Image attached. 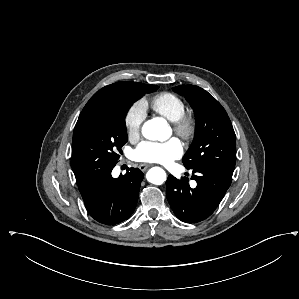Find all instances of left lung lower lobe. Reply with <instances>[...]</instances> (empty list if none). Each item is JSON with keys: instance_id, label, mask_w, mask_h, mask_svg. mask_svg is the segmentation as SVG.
<instances>
[{"instance_id": "0a47b994", "label": "left lung lower lobe", "mask_w": 299, "mask_h": 299, "mask_svg": "<svg viewBox=\"0 0 299 299\" xmlns=\"http://www.w3.org/2000/svg\"><path fill=\"white\" fill-rule=\"evenodd\" d=\"M197 182L190 188L188 180L169 176L166 182L168 202L181 221L197 223L207 219L217 208L229 188L232 176L212 167L192 169Z\"/></svg>"}]
</instances>
